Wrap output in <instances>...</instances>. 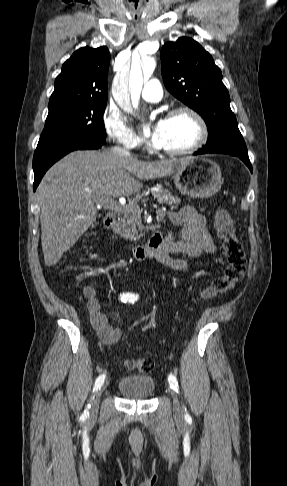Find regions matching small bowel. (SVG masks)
Masks as SVG:
<instances>
[{"instance_id": "obj_1", "label": "small bowel", "mask_w": 287, "mask_h": 486, "mask_svg": "<svg viewBox=\"0 0 287 486\" xmlns=\"http://www.w3.org/2000/svg\"><path fill=\"white\" fill-rule=\"evenodd\" d=\"M161 217L167 215L172 229L163 236L159 251L150 257L163 268L172 271H186L185 261L174 258L175 254L197 257L203 253H215L216 245L207 229L206 219L191 206H184L177 212H159ZM82 295L90 316V322L103 344L112 345L121 338V330L109 322L101 310L96 289L91 285L84 286Z\"/></svg>"}]
</instances>
